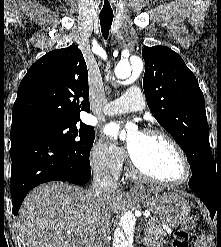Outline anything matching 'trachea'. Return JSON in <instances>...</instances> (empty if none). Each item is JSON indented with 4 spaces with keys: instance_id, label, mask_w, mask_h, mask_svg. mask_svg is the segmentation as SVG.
Listing matches in <instances>:
<instances>
[{
    "instance_id": "trachea-1",
    "label": "trachea",
    "mask_w": 221,
    "mask_h": 247,
    "mask_svg": "<svg viewBox=\"0 0 221 247\" xmlns=\"http://www.w3.org/2000/svg\"><path fill=\"white\" fill-rule=\"evenodd\" d=\"M101 32L105 40L108 38L109 30L113 21V14H100L99 15Z\"/></svg>"
}]
</instances>
